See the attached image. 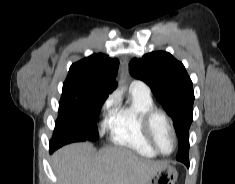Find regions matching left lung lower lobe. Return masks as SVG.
Here are the masks:
<instances>
[{
  "label": "left lung lower lobe",
  "instance_id": "obj_1",
  "mask_svg": "<svg viewBox=\"0 0 235 184\" xmlns=\"http://www.w3.org/2000/svg\"><path fill=\"white\" fill-rule=\"evenodd\" d=\"M185 164H186L187 166H189V161H187Z\"/></svg>",
  "mask_w": 235,
  "mask_h": 184
}]
</instances>
